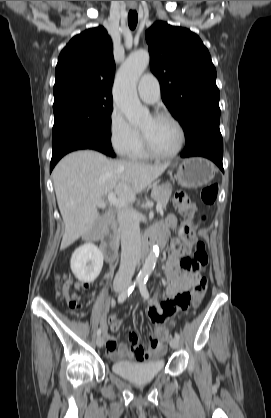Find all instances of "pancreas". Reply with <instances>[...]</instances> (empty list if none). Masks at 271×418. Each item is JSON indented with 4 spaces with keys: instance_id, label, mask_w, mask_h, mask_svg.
<instances>
[{
    "instance_id": "obj_1",
    "label": "pancreas",
    "mask_w": 271,
    "mask_h": 418,
    "mask_svg": "<svg viewBox=\"0 0 271 418\" xmlns=\"http://www.w3.org/2000/svg\"><path fill=\"white\" fill-rule=\"evenodd\" d=\"M171 192L170 185L156 186L152 189V198L164 208L169 201Z\"/></svg>"
}]
</instances>
